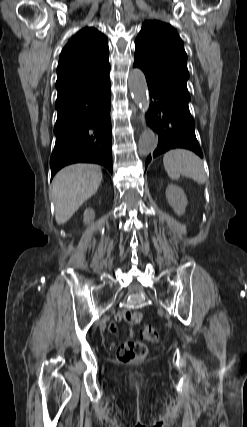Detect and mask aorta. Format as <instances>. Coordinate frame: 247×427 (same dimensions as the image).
Wrapping results in <instances>:
<instances>
[{"instance_id": "762f6f07", "label": "aorta", "mask_w": 247, "mask_h": 427, "mask_svg": "<svg viewBox=\"0 0 247 427\" xmlns=\"http://www.w3.org/2000/svg\"><path fill=\"white\" fill-rule=\"evenodd\" d=\"M129 90L134 102L146 112L149 108L148 87L144 73L133 69L129 74ZM157 147V136L153 130L146 128L139 139L138 152L141 155L153 153Z\"/></svg>"}]
</instances>
